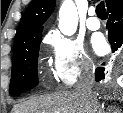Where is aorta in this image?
Here are the masks:
<instances>
[{
  "label": "aorta",
  "instance_id": "1",
  "mask_svg": "<svg viewBox=\"0 0 123 113\" xmlns=\"http://www.w3.org/2000/svg\"><path fill=\"white\" fill-rule=\"evenodd\" d=\"M77 26V8L72 0H64L59 10V29L64 35L71 36L76 32Z\"/></svg>",
  "mask_w": 123,
  "mask_h": 113
}]
</instances>
